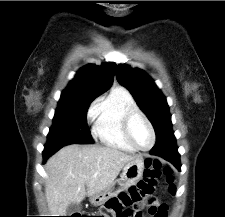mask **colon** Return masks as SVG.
<instances>
[{"instance_id": "obj_1", "label": "colon", "mask_w": 225, "mask_h": 217, "mask_svg": "<svg viewBox=\"0 0 225 217\" xmlns=\"http://www.w3.org/2000/svg\"><path fill=\"white\" fill-rule=\"evenodd\" d=\"M162 178L168 192L174 194L175 186L171 169L162 167L158 160L146 159L143 179L136 186L130 187L109 200L101 216L91 217H120L122 214H126L129 217H142L141 212L135 209V204L140 203L144 199H151ZM148 213L150 217H166L167 207L165 205L150 207Z\"/></svg>"}]
</instances>
